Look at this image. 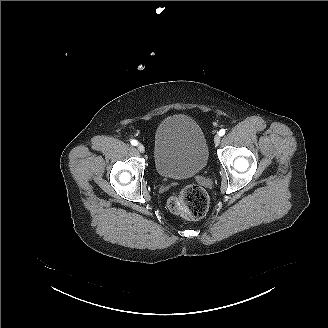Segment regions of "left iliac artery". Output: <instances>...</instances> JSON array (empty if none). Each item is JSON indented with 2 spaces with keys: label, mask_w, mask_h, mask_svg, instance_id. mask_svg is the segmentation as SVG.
<instances>
[{
  "label": "left iliac artery",
  "mask_w": 328,
  "mask_h": 328,
  "mask_svg": "<svg viewBox=\"0 0 328 328\" xmlns=\"http://www.w3.org/2000/svg\"><path fill=\"white\" fill-rule=\"evenodd\" d=\"M225 134V129H221L220 131H219V135L220 136H223Z\"/></svg>",
  "instance_id": "obj_1"
}]
</instances>
